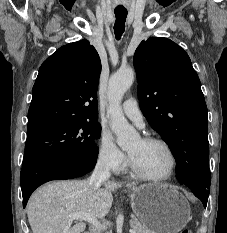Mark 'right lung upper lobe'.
I'll use <instances>...</instances> for the list:
<instances>
[{
    "mask_svg": "<svg viewBox=\"0 0 227 233\" xmlns=\"http://www.w3.org/2000/svg\"><path fill=\"white\" fill-rule=\"evenodd\" d=\"M101 62L83 39L59 48L39 69L32 89L27 133L78 120H97Z\"/></svg>",
    "mask_w": 227,
    "mask_h": 233,
    "instance_id": "right-lung-upper-lobe-1",
    "label": "right lung upper lobe"
}]
</instances>
